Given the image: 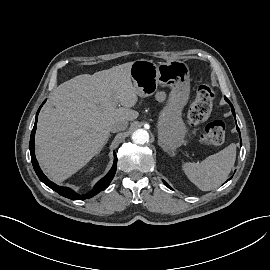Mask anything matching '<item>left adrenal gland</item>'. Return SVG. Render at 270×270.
I'll use <instances>...</instances> for the list:
<instances>
[{"instance_id": "obj_1", "label": "left adrenal gland", "mask_w": 270, "mask_h": 270, "mask_svg": "<svg viewBox=\"0 0 270 270\" xmlns=\"http://www.w3.org/2000/svg\"><path fill=\"white\" fill-rule=\"evenodd\" d=\"M170 155H172V156H173V155H175V153H170Z\"/></svg>"}]
</instances>
